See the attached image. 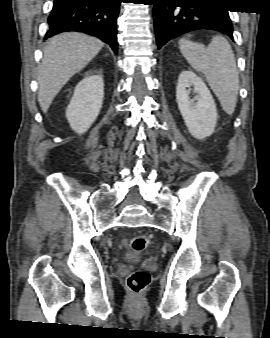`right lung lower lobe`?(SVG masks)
<instances>
[{
    "label": "right lung lower lobe",
    "mask_w": 270,
    "mask_h": 338,
    "mask_svg": "<svg viewBox=\"0 0 270 338\" xmlns=\"http://www.w3.org/2000/svg\"><path fill=\"white\" fill-rule=\"evenodd\" d=\"M122 0H54L45 39L60 32L96 36L117 52L116 19Z\"/></svg>",
    "instance_id": "1"
}]
</instances>
